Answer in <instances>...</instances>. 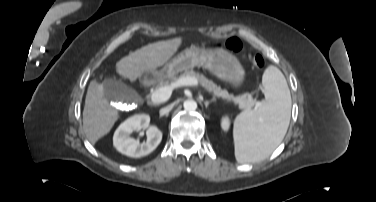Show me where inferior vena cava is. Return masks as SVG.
Here are the masks:
<instances>
[{
	"instance_id": "1",
	"label": "inferior vena cava",
	"mask_w": 376,
	"mask_h": 202,
	"mask_svg": "<svg viewBox=\"0 0 376 202\" xmlns=\"http://www.w3.org/2000/svg\"><path fill=\"white\" fill-rule=\"evenodd\" d=\"M171 109H172V106H166V107L160 109V115L163 116V115L169 113Z\"/></svg>"
}]
</instances>
